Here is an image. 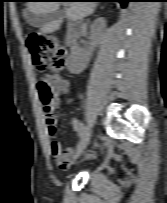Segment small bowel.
<instances>
[{
    "instance_id": "1",
    "label": "small bowel",
    "mask_w": 167,
    "mask_h": 203,
    "mask_svg": "<svg viewBox=\"0 0 167 203\" xmlns=\"http://www.w3.org/2000/svg\"><path fill=\"white\" fill-rule=\"evenodd\" d=\"M45 79L50 83L54 91L58 95H62L68 92L69 82L68 80L62 78L58 75H47ZM59 107V103H55L52 107V111ZM52 111L48 114L45 113V121L47 125V131L51 139L49 149L52 155L53 160L61 169H66L69 166L70 159L76 158V152L73 148L63 149L59 142L56 140L57 129H56V118L53 115ZM71 126L75 132L79 134L81 124L78 119L74 118L71 121ZM93 157L92 153H87L84 156V159L89 160Z\"/></svg>"
}]
</instances>
